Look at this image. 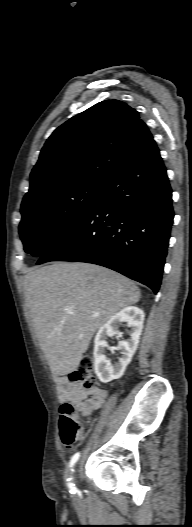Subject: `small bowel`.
<instances>
[{
    "label": "small bowel",
    "instance_id": "obj_1",
    "mask_svg": "<svg viewBox=\"0 0 192 527\" xmlns=\"http://www.w3.org/2000/svg\"><path fill=\"white\" fill-rule=\"evenodd\" d=\"M59 385L62 390V399L74 403L80 413L87 418L94 410L101 407L107 397V391L104 388L84 389L66 377L60 378Z\"/></svg>",
    "mask_w": 192,
    "mask_h": 527
}]
</instances>
